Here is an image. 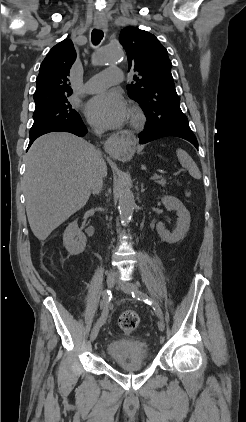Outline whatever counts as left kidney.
<instances>
[{"label": "left kidney", "instance_id": "left-kidney-1", "mask_svg": "<svg viewBox=\"0 0 246 422\" xmlns=\"http://www.w3.org/2000/svg\"><path fill=\"white\" fill-rule=\"evenodd\" d=\"M161 202L167 210H174L177 212V226L171 233L165 229L162 222H158L156 230L163 241L170 244L176 243L183 239L189 230L191 221L190 213L183 203L173 196H164L161 198Z\"/></svg>", "mask_w": 246, "mask_h": 422}]
</instances>
